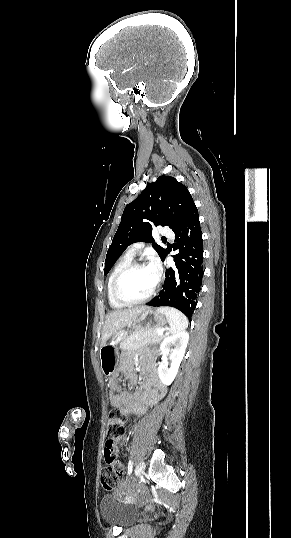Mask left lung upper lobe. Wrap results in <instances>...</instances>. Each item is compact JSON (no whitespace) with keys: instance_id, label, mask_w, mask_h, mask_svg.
Returning <instances> with one entry per match:
<instances>
[{"instance_id":"obj_1","label":"left lung upper lobe","mask_w":291,"mask_h":538,"mask_svg":"<svg viewBox=\"0 0 291 538\" xmlns=\"http://www.w3.org/2000/svg\"><path fill=\"white\" fill-rule=\"evenodd\" d=\"M186 186L174 177L160 176L149 183L138 198L129 203L112 240L105 259L106 275L124 250L134 242H149L163 259L167 249L154 243L153 226H169L172 230L195 209Z\"/></svg>"}]
</instances>
